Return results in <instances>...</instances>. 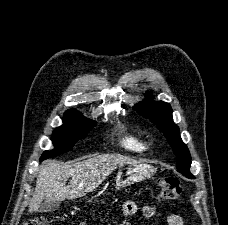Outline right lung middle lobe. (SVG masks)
<instances>
[{"label": "right lung middle lobe", "mask_w": 228, "mask_h": 225, "mask_svg": "<svg viewBox=\"0 0 228 225\" xmlns=\"http://www.w3.org/2000/svg\"><path fill=\"white\" fill-rule=\"evenodd\" d=\"M63 122V126L53 131L54 149L45 151L40 161L71 150L75 143L96 125L95 121L85 118L79 111L72 109L64 113Z\"/></svg>", "instance_id": "dd1d6c3e"}]
</instances>
